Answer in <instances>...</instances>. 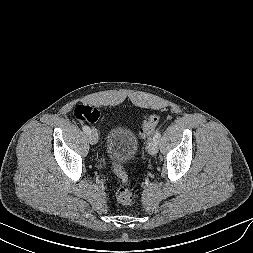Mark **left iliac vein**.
<instances>
[{"mask_svg": "<svg viewBox=\"0 0 253 253\" xmlns=\"http://www.w3.org/2000/svg\"><path fill=\"white\" fill-rule=\"evenodd\" d=\"M149 154L156 155L158 153V141L155 139H150L147 145Z\"/></svg>", "mask_w": 253, "mask_h": 253, "instance_id": "4c4485c4", "label": "left iliac vein"}]
</instances>
